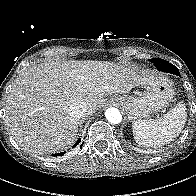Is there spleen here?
I'll return each mask as SVG.
<instances>
[{"mask_svg":"<svg viewBox=\"0 0 196 196\" xmlns=\"http://www.w3.org/2000/svg\"><path fill=\"white\" fill-rule=\"evenodd\" d=\"M186 120V106L183 102H179L159 119L133 121V135L138 143L145 146H162L171 142L181 133Z\"/></svg>","mask_w":196,"mask_h":196,"instance_id":"1","label":"spleen"}]
</instances>
